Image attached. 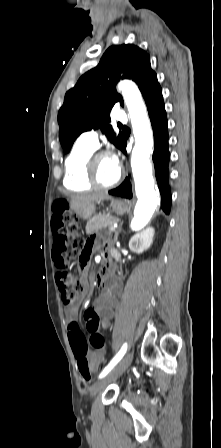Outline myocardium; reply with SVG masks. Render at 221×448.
<instances>
[{
    "instance_id": "1",
    "label": "myocardium",
    "mask_w": 221,
    "mask_h": 448,
    "mask_svg": "<svg viewBox=\"0 0 221 448\" xmlns=\"http://www.w3.org/2000/svg\"><path fill=\"white\" fill-rule=\"evenodd\" d=\"M112 156V153L106 150H100V151H93L86 161V177L87 180L96 188L99 189H110L118 185V183L121 180L122 172L119 170L117 177L114 179V181L110 183H102L97 175V159L100 156Z\"/></svg>"
}]
</instances>
